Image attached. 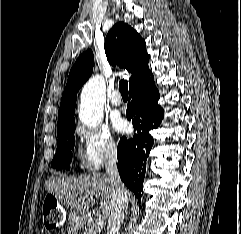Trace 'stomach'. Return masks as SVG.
Instances as JSON below:
<instances>
[{
  "label": "stomach",
  "instance_id": "1",
  "mask_svg": "<svg viewBox=\"0 0 241 234\" xmlns=\"http://www.w3.org/2000/svg\"><path fill=\"white\" fill-rule=\"evenodd\" d=\"M72 217H73L72 218L73 222H77V221L81 222L83 220V217L80 214H77V213H75Z\"/></svg>",
  "mask_w": 241,
  "mask_h": 234
}]
</instances>
